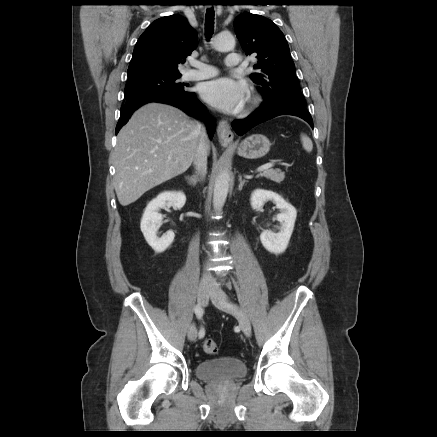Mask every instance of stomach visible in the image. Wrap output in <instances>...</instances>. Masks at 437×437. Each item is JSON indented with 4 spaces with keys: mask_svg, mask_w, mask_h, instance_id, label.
I'll list each match as a JSON object with an SVG mask.
<instances>
[{
    "mask_svg": "<svg viewBox=\"0 0 437 437\" xmlns=\"http://www.w3.org/2000/svg\"><path fill=\"white\" fill-rule=\"evenodd\" d=\"M271 147L269 139L262 134H253L245 138L237 147V154L247 159L265 156Z\"/></svg>",
    "mask_w": 437,
    "mask_h": 437,
    "instance_id": "1",
    "label": "stomach"
}]
</instances>
